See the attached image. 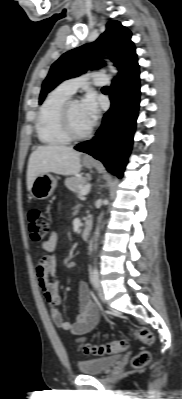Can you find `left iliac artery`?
<instances>
[{
    "label": "left iliac artery",
    "instance_id": "44dca946",
    "mask_svg": "<svg viewBox=\"0 0 182 399\" xmlns=\"http://www.w3.org/2000/svg\"><path fill=\"white\" fill-rule=\"evenodd\" d=\"M92 283L94 285L95 288L99 287V273L97 269H94L92 272Z\"/></svg>",
    "mask_w": 182,
    "mask_h": 399
}]
</instances>
